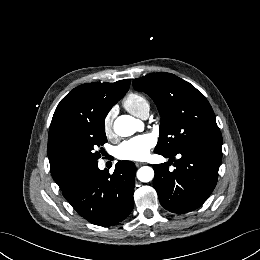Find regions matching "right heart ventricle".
I'll use <instances>...</instances> for the list:
<instances>
[{"label": "right heart ventricle", "instance_id": "1", "mask_svg": "<svg viewBox=\"0 0 260 260\" xmlns=\"http://www.w3.org/2000/svg\"><path fill=\"white\" fill-rule=\"evenodd\" d=\"M123 104L129 112L138 117L141 116L144 110L150 109L148 99L143 94L136 92L128 94Z\"/></svg>", "mask_w": 260, "mask_h": 260}]
</instances>
